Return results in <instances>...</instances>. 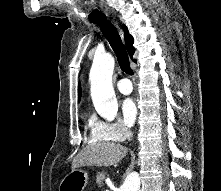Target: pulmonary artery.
Here are the masks:
<instances>
[{
	"instance_id": "1",
	"label": "pulmonary artery",
	"mask_w": 221,
	"mask_h": 191,
	"mask_svg": "<svg viewBox=\"0 0 221 191\" xmlns=\"http://www.w3.org/2000/svg\"><path fill=\"white\" fill-rule=\"evenodd\" d=\"M116 86H117V89L123 94H129L132 92V89H133L130 80L126 78L120 79L116 83Z\"/></svg>"
}]
</instances>
